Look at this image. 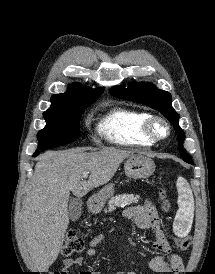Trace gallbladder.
<instances>
[{
    "instance_id": "1",
    "label": "gallbladder",
    "mask_w": 215,
    "mask_h": 274,
    "mask_svg": "<svg viewBox=\"0 0 215 274\" xmlns=\"http://www.w3.org/2000/svg\"><path fill=\"white\" fill-rule=\"evenodd\" d=\"M83 202L80 199L73 198L69 202L68 213L73 221H76L82 212Z\"/></svg>"
}]
</instances>
